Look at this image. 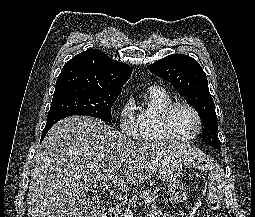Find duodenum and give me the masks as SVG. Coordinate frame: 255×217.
I'll return each mask as SVG.
<instances>
[{
    "mask_svg": "<svg viewBox=\"0 0 255 217\" xmlns=\"http://www.w3.org/2000/svg\"><path fill=\"white\" fill-rule=\"evenodd\" d=\"M91 217H106V210L105 209H99L95 211Z\"/></svg>",
    "mask_w": 255,
    "mask_h": 217,
    "instance_id": "obj_1",
    "label": "duodenum"
}]
</instances>
